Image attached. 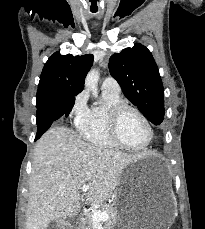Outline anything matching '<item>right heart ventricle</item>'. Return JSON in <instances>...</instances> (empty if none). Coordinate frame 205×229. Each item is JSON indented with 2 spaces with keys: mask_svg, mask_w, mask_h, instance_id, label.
<instances>
[{
  "mask_svg": "<svg viewBox=\"0 0 205 229\" xmlns=\"http://www.w3.org/2000/svg\"><path fill=\"white\" fill-rule=\"evenodd\" d=\"M103 102L89 108L86 119L77 126L80 136L89 144L104 148L118 149L119 146L112 140L108 126L109 109L123 103L119 94L102 90Z\"/></svg>",
  "mask_w": 205,
  "mask_h": 229,
  "instance_id": "right-heart-ventricle-1",
  "label": "right heart ventricle"
}]
</instances>
